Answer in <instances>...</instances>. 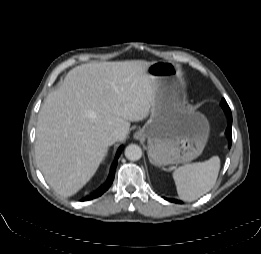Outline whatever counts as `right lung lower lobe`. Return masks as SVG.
<instances>
[{
	"instance_id": "1",
	"label": "right lung lower lobe",
	"mask_w": 261,
	"mask_h": 254,
	"mask_svg": "<svg viewBox=\"0 0 261 254\" xmlns=\"http://www.w3.org/2000/svg\"><path fill=\"white\" fill-rule=\"evenodd\" d=\"M121 150H122V147L119 148V150H118V152H117V154H116L115 160H114L113 165H112V167H111V171H110L109 178H108V180L106 181V183L104 184V186H103L100 190H98L97 192H95L94 194H92V195L87 196L86 198H84V200H90V199L99 197V196H101L106 190H108V188L110 187V185L112 184L113 179H114L115 169H116V166H117V161H118L119 155H120V153H121Z\"/></svg>"
}]
</instances>
